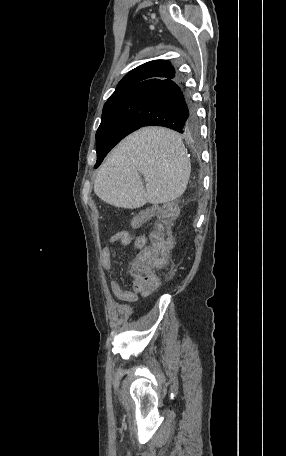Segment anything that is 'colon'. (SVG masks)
Segmentation results:
<instances>
[{
    "instance_id": "colon-1",
    "label": "colon",
    "mask_w": 286,
    "mask_h": 456,
    "mask_svg": "<svg viewBox=\"0 0 286 456\" xmlns=\"http://www.w3.org/2000/svg\"><path fill=\"white\" fill-rule=\"evenodd\" d=\"M143 220H136L135 225L141 226ZM120 236L114 234L113 240ZM170 244L165 225L160 221L154 233L151 235V244L142 249L138 257L132 264L131 276L134 280V287L138 291L155 290L160 285V278L156 275L155 269L163 268L169 250Z\"/></svg>"
}]
</instances>
